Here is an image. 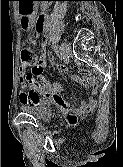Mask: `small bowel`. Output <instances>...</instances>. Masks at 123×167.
<instances>
[{
  "label": "small bowel",
  "instance_id": "c3829d8e",
  "mask_svg": "<svg viewBox=\"0 0 123 167\" xmlns=\"http://www.w3.org/2000/svg\"><path fill=\"white\" fill-rule=\"evenodd\" d=\"M34 1H18L19 14L21 15L20 24L25 27L31 25V14L33 12ZM44 16V15H43ZM45 19V16H44ZM43 28H39L34 36H38L42 32ZM29 41L34 42V38H30ZM46 56L42 55L37 68L32 69L31 73H26L23 69L20 71V83L21 89L19 93L20 101L24 104H52L62 108L73 109L79 112H88L92 110L97 103L96 93L99 88L98 82L90 74H85L82 78L77 75H72L71 80L75 83L89 87L92 91V96L89 100H83L78 106L71 104L61 97V87L59 85H52L42 80L44 74V68L46 67ZM63 72H67L65 66H61ZM40 78L41 80H37ZM32 83V88L27 91L26 83Z\"/></svg>",
  "mask_w": 123,
  "mask_h": 167
}]
</instances>
